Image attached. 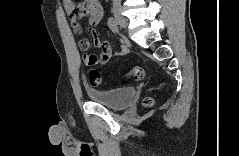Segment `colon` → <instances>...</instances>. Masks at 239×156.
Returning a JSON list of instances; mask_svg holds the SVG:
<instances>
[{"label": "colon", "instance_id": "5ec220e1", "mask_svg": "<svg viewBox=\"0 0 239 156\" xmlns=\"http://www.w3.org/2000/svg\"><path fill=\"white\" fill-rule=\"evenodd\" d=\"M81 14H78L80 16ZM129 77L134 80V81H140L144 77V71L142 67L140 66H135L130 69L129 71ZM88 80L89 83L93 86L99 85L101 83V74L98 70L96 69H91L88 73ZM145 105H151L153 103V98L148 97L144 101Z\"/></svg>", "mask_w": 239, "mask_h": 156}]
</instances>
